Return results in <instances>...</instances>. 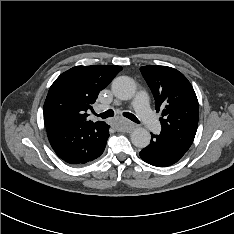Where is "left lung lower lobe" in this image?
I'll use <instances>...</instances> for the list:
<instances>
[{"mask_svg": "<svg viewBox=\"0 0 234 234\" xmlns=\"http://www.w3.org/2000/svg\"><path fill=\"white\" fill-rule=\"evenodd\" d=\"M186 152L168 136L160 133L159 135L151 134L150 144L139 154L146 163L157 167H167L179 161Z\"/></svg>", "mask_w": 234, "mask_h": 234, "instance_id": "obj_1", "label": "left lung lower lobe"}]
</instances>
